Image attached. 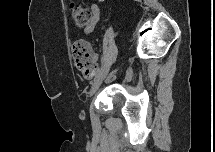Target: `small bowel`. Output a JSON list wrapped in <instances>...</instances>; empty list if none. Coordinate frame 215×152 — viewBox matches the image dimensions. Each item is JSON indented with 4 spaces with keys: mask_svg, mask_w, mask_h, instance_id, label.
<instances>
[{
    "mask_svg": "<svg viewBox=\"0 0 215 152\" xmlns=\"http://www.w3.org/2000/svg\"><path fill=\"white\" fill-rule=\"evenodd\" d=\"M90 12H91L90 22L84 28V32L87 35L92 34L95 31L97 24L99 22V19H100V9H99L98 5L92 4L90 6Z\"/></svg>",
    "mask_w": 215,
    "mask_h": 152,
    "instance_id": "1",
    "label": "small bowel"
}]
</instances>
